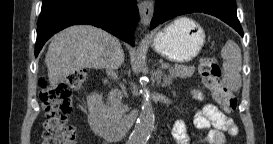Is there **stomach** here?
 Masks as SVG:
<instances>
[{
	"label": "stomach",
	"instance_id": "1",
	"mask_svg": "<svg viewBox=\"0 0 273 144\" xmlns=\"http://www.w3.org/2000/svg\"><path fill=\"white\" fill-rule=\"evenodd\" d=\"M205 43V31L194 20L180 17L150 38L154 51L175 63L194 59Z\"/></svg>",
	"mask_w": 273,
	"mask_h": 144
}]
</instances>
